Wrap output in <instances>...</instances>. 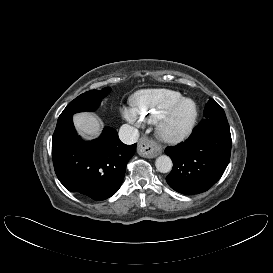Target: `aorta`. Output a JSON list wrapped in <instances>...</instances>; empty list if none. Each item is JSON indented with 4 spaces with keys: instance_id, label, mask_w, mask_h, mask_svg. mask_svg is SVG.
<instances>
[{
    "instance_id": "762f6f07",
    "label": "aorta",
    "mask_w": 273,
    "mask_h": 273,
    "mask_svg": "<svg viewBox=\"0 0 273 273\" xmlns=\"http://www.w3.org/2000/svg\"><path fill=\"white\" fill-rule=\"evenodd\" d=\"M155 166L161 173H168L172 169V160L167 155H161L156 159Z\"/></svg>"
}]
</instances>
